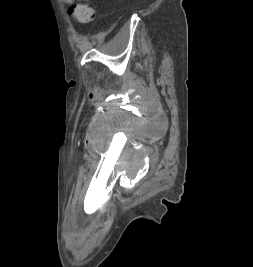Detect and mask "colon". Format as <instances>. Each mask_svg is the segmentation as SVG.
I'll return each instance as SVG.
<instances>
[{
    "instance_id": "1",
    "label": "colon",
    "mask_w": 253,
    "mask_h": 267,
    "mask_svg": "<svg viewBox=\"0 0 253 267\" xmlns=\"http://www.w3.org/2000/svg\"><path fill=\"white\" fill-rule=\"evenodd\" d=\"M85 1V3L73 5L69 9V13L82 25L91 23L95 17L94 7L87 3V0Z\"/></svg>"
}]
</instances>
